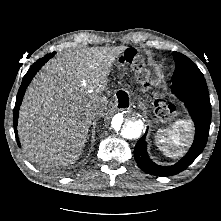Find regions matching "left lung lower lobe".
<instances>
[{"mask_svg": "<svg viewBox=\"0 0 221 221\" xmlns=\"http://www.w3.org/2000/svg\"><path fill=\"white\" fill-rule=\"evenodd\" d=\"M171 91L184 102L195 124V138L188 153L168 167L152 162L147 154L146 133L135 145L134 157L138 166L154 176H172L185 170L204 150L211 123V104L204 77L172 81Z\"/></svg>", "mask_w": 221, "mask_h": 221, "instance_id": "obj_1", "label": "left lung lower lobe"}]
</instances>
